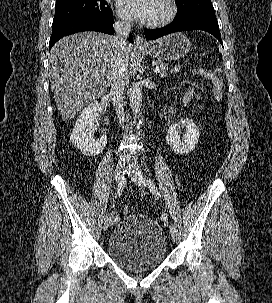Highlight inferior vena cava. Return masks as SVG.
Returning a JSON list of instances; mask_svg holds the SVG:
<instances>
[{
  "label": "inferior vena cava",
  "instance_id": "1",
  "mask_svg": "<svg viewBox=\"0 0 272 303\" xmlns=\"http://www.w3.org/2000/svg\"><path fill=\"white\" fill-rule=\"evenodd\" d=\"M115 32L114 43L117 47L116 56L113 65L112 81L110 96L112 99L113 106L115 107L117 117L120 124L124 120V100L123 92L127 85V73H128V63L129 55L126 51L127 38L131 31V19L123 16L119 21H116L113 25ZM124 158L127 157L126 154L123 155Z\"/></svg>",
  "mask_w": 272,
  "mask_h": 303
}]
</instances>
